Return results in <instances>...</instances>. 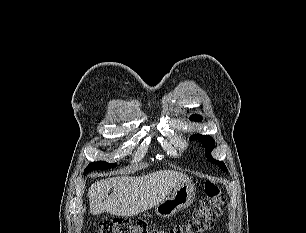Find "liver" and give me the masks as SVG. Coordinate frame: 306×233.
I'll return each instance as SVG.
<instances>
[{
	"instance_id": "liver-1",
	"label": "liver",
	"mask_w": 306,
	"mask_h": 233,
	"mask_svg": "<svg viewBox=\"0 0 306 233\" xmlns=\"http://www.w3.org/2000/svg\"><path fill=\"white\" fill-rule=\"evenodd\" d=\"M182 182H190L188 176L171 170L102 179L88 190L90 213L135 216L156 206ZM112 188L113 193L108 195Z\"/></svg>"
}]
</instances>
